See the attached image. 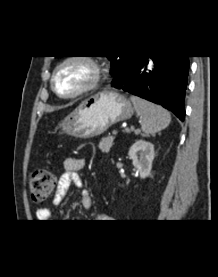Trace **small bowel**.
<instances>
[{
  "label": "small bowel",
  "instance_id": "1",
  "mask_svg": "<svg viewBox=\"0 0 218 277\" xmlns=\"http://www.w3.org/2000/svg\"><path fill=\"white\" fill-rule=\"evenodd\" d=\"M85 166V160L78 157H68L64 161V171L60 175L56 191L53 196V204L58 205L62 202L71 183H74L77 187L81 188V203L85 209H89L92 205V198L89 191L84 187L82 180L80 179L78 172ZM52 216L51 210L47 207H40L36 211V217L39 222H47ZM101 216H98L100 218Z\"/></svg>",
  "mask_w": 218,
  "mask_h": 277
}]
</instances>
